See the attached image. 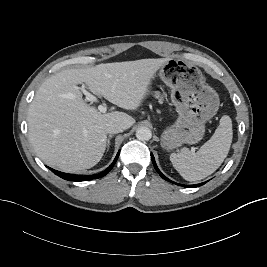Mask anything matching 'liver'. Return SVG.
Segmentation results:
<instances>
[{
	"label": "liver",
	"instance_id": "liver-1",
	"mask_svg": "<svg viewBox=\"0 0 267 267\" xmlns=\"http://www.w3.org/2000/svg\"><path fill=\"white\" fill-rule=\"evenodd\" d=\"M167 58L99 64L67 69L46 79L31 102L27 121L29 141L48 166L76 172L95 166L102 158L105 125L118 121L130 128L135 119L113 111L99 113L86 104L79 84L127 110H136L148 92L156 71Z\"/></svg>",
	"mask_w": 267,
	"mask_h": 267
}]
</instances>
